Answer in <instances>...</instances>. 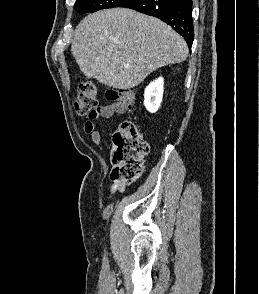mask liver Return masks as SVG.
Returning a JSON list of instances; mask_svg holds the SVG:
<instances>
[{
    "mask_svg": "<svg viewBox=\"0 0 259 294\" xmlns=\"http://www.w3.org/2000/svg\"><path fill=\"white\" fill-rule=\"evenodd\" d=\"M72 54L86 77L131 89L154 70L183 62L184 39L166 23L126 8L87 15L76 27Z\"/></svg>",
    "mask_w": 259,
    "mask_h": 294,
    "instance_id": "6515ba94",
    "label": "liver"
}]
</instances>
